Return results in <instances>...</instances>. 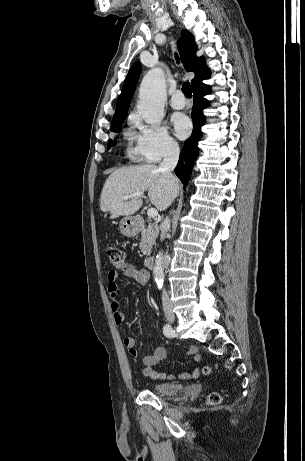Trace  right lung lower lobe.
Masks as SVG:
<instances>
[{"instance_id": "98d812e1", "label": "right lung lower lobe", "mask_w": 305, "mask_h": 461, "mask_svg": "<svg viewBox=\"0 0 305 461\" xmlns=\"http://www.w3.org/2000/svg\"><path fill=\"white\" fill-rule=\"evenodd\" d=\"M208 78V77H207ZM193 92V132L191 137L185 142L182 151L180 153L179 162L175 168V173L184 184L187 182L191 175V170L195 159L198 156L197 142L202 136L201 127L205 123V116L202 111L207 106L208 102L203 96L210 93V87L203 84L202 82L197 83L192 87Z\"/></svg>"}]
</instances>
